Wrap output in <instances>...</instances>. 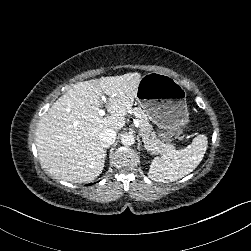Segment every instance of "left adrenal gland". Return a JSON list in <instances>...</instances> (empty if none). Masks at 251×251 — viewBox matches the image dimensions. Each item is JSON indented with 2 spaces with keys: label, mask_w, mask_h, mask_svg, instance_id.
Masks as SVG:
<instances>
[{
  "label": "left adrenal gland",
  "mask_w": 251,
  "mask_h": 251,
  "mask_svg": "<svg viewBox=\"0 0 251 251\" xmlns=\"http://www.w3.org/2000/svg\"><path fill=\"white\" fill-rule=\"evenodd\" d=\"M137 141H138V149L142 145V141L140 140V135H137Z\"/></svg>",
  "instance_id": "a2214340"
}]
</instances>
